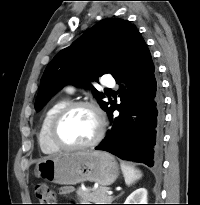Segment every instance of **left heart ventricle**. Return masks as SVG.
Here are the masks:
<instances>
[{
	"label": "left heart ventricle",
	"mask_w": 200,
	"mask_h": 205,
	"mask_svg": "<svg viewBox=\"0 0 200 205\" xmlns=\"http://www.w3.org/2000/svg\"><path fill=\"white\" fill-rule=\"evenodd\" d=\"M97 128L93 112L86 108H78L71 111L61 122L58 136L67 145H80L92 140Z\"/></svg>",
	"instance_id": "left-heart-ventricle-1"
}]
</instances>
